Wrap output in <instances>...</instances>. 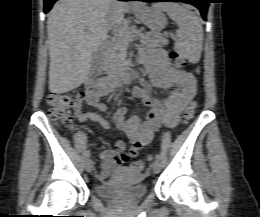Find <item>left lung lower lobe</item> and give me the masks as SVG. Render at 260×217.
Here are the masks:
<instances>
[{"instance_id":"1","label":"left lung lower lobe","mask_w":260,"mask_h":217,"mask_svg":"<svg viewBox=\"0 0 260 217\" xmlns=\"http://www.w3.org/2000/svg\"><path fill=\"white\" fill-rule=\"evenodd\" d=\"M133 1H144V2H184L190 3L196 6L202 14L204 20H206L207 8L210 3L209 0H133Z\"/></svg>"}]
</instances>
